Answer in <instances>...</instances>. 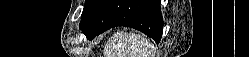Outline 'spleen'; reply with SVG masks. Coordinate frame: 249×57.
Returning a JSON list of instances; mask_svg holds the SVG:
<instances>
[{"label":"spleen","instance_id":"3e777b00","mask_svg":"<svg viewBox=\"0 0 249 57\" xmlns=\"http://www.w3.org/2000/svg\"><path fill=\"white\" fill-rule=\"evenodd\" d=\"M114 51L106 50L105 57H153L149 41L140 34L120 32L114 35Z\"/></svg>","mask_w":249,"mask_h":57}]
</instances>
